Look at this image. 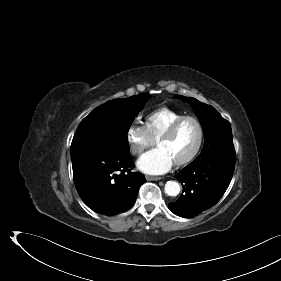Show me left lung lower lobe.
Here are the masks:
<instances>
[{
  "mask_svg": "<svg viewBox=\"0 0 281 281\" xmlns=\"http://www.w3.org/2000/svg\"><path fill=\"white\" fill-rule=\"evenodd\" d=\"M235 155L216 154L197 157L175 177L183 191L168 207L174 214L192 218L214 206L227 190L233 176Z\"/></svg>",
  "mask_w": 281,
  "mask_h": 281,
  "instance_id": "0a47b994",
  "label": "left lung lower lobe"
}]
</instances>
